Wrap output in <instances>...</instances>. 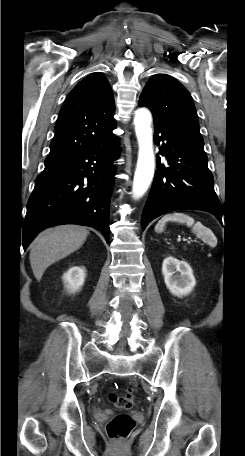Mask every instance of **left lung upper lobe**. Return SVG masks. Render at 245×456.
Instances as JSON below:
<instances>
[{"label": "left lung upper lobe", "mask_w": 245, "mask_h": 456, "mask_svg": "<svg viewBox=\"0 0 245 456\" xmlns=\"http://www.w3.org/2000/svg\"><path fill=\"white\" fill-rule=\"evenodd\" d=\"M139 106L152 111L154 123L173 127L203 144L192 97L175 78L167 74L152 76L142 91Z\"/></svg>", "instance_id": "obj_1"}]
</instances>
